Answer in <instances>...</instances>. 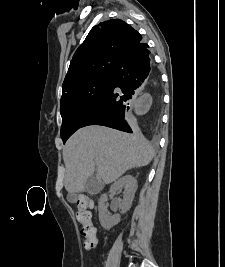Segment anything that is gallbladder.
Returning a JSON list of instances; mask_svg holds the SVG:
<instances>
[{"label":"gallbladder","mask_w":225,"mask_h":267,"mask_svg":"<svg viewBox=\"0 0 225 267\" xmlns=\"http://www.w3.org/2000/svg\"><path fill=\"white\" fill-rule=\"evenodd\" d=\"M102 183L96 179L94 176L90 177L86 181L85 190L90 193H97L101 190ZM67 200L74 203L76 200V194H69Z\"/></svg>","instance_id":"gallbladder-1"}]
</instances>
